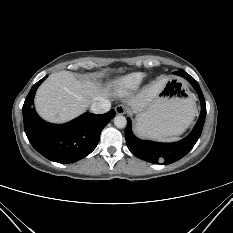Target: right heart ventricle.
Segmentation results:
<instances>
[{
	"label": "right heart ventricle",
	"instance_id": "1",
	"mask_svg": "<svg viewBox=\"0 0 233 233\" xmlns=\"http://www.w3.org/2000/svg\"><path fill=\"white\" fill-rule=\"evenodd\" d=\"M145 75L140 72L131 73L117 80L116 86L120 92L136 90L144 81Z\"/></svg>",
	"mask_w": 233,
	"mask_h": 233
}]
</instances>
